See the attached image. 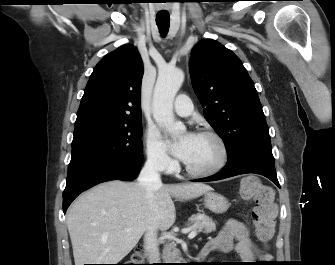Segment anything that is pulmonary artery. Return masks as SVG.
Here are the masks:
<instances>
[{
    "mask_svg": "<svg viewBox=\"0 0 335 265\" xmlns=\"http://www.w3.org/2000/svg\"><path fill=\"white\" fill-rule=\"evenodd\" d=\"M174 110L180 116H188L192 113L193 107L188 96L181 94L174 102Z\"/></svg>",
    "mask_w": 335,
    "mask_h": 265,
    "instance_id": "e3ab8cb5",
    "label": "pulmonary artery"
}]
</instances>
